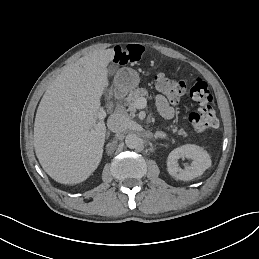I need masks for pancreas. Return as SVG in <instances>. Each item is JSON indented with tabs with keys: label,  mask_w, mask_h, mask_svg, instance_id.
Segmentation results:
<instances>
[{
	"label": "pancreas",
	"mask_w": 259,
	"mask_h": 259,
	"mask_svg": "<svg viewBox=\"0 0 259 259\" xmlns=\"http://www.w3.org/2000/svg\"><path fill=\"white\" fill-rule=\"evenodd\" d=\"M144 96L148 97V90H146L145 88H138L133 92H131L129 96L126 98V103L129 105V111L132 116H135V108L132 106L133 101ZM165 129L167 131L172 130V132L175 133L176 136L178 135L182 137L188 136V133L185 132L184 128H178L177 125L166 126Z\"/></svg>",
	"instance_id": "1"
}]
</instances>
